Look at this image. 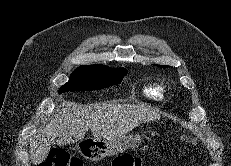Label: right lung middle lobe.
Returning a JSON list of instances; mask_svg holds the SVG:
<instances>
[{"instance_id":"dd1d6c3e","label":"right lung middle lobe","mask_w":231,"mask_h":166,"mask_svg":"<svg viewBox=\"0 0 231 166\" xmlns=\"http://www.w3.org/2000/svg\"><path fill=\"white\" fill-rule=\"evenodd\" d=\"M126 73L125 68H110L101 64L83 65L72 72L69 81L59 88V93L104 89L119 84Z\"/></svg>"}]
</instances>
